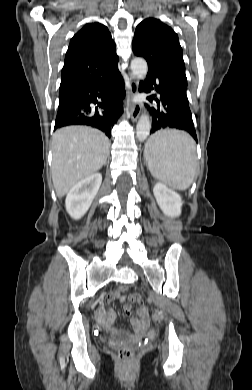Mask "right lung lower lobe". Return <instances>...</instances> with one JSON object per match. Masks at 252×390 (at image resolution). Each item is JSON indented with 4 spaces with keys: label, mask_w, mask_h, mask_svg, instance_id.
<instances>
[{
    "label": "right lung lower lobe",
    "mask_w": 252,
    "mask_h": 390,
    "mask_svg": "<svg viewBox=\"0 0 252 390\" xmlns=\"http://www.w3.org/2000/svg\"><path fill=\"white\" fill-rule=\"evenodd\" d=\"M123 97L124 83L116 67L101 81L59 98L54 129L67 125H89L102 130L110 138L111 129L122 114ZM91 103H97L102 110L93 109Z\"/></svg>",
    "instance_id": "right-lung-lower-lobe-1"
}]
</instances>
